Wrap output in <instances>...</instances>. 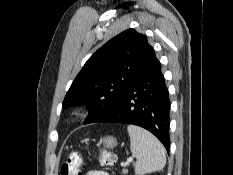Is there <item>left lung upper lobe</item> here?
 I'll return each instance as SVG.
<instances>
[{
  "label": "left lung upper lobe",
  "mask_w": 233,
  "mask_h": 175,
  "mask_svg": "<svg viewBox=\"0 0 233 175\" xmlns=\"http://www.w3.org/2000/svg\"><path fill=\"white\" fill-rule=\"evenodd\" d=\"M155 56L147 38L128 29L99 48L69 88L63 107L87 104L85 124L97 122L119 101L128 86Z\"/></svg>",
  "instance_id": "5c2ea615"
}]
</instances>
